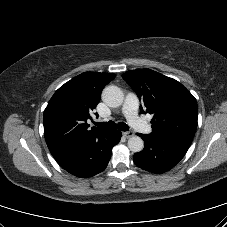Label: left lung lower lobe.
<instances>
[{"mask_svg":"<svg viewBox=\"0 0 227 227\" xmlns=\"http://www.w3.org/2000/svg\"><path fill=\"white\" fill-rule=\"evenodd\" d=\"M144 140V149L135 153L134 163L148 172L161 174L173 168L186 154L190 144L157 135L137 134Z\"/></svg>","mask_w":227,"mask_h":227,"instance_id":"left-lung-lower-lobe-1","label":"left lung lower lobe"}]
</instances>
